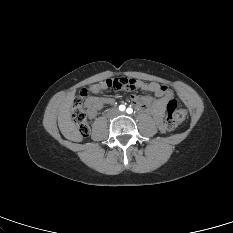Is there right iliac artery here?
Here are the masks:
<instances>
[{"instance_id":"1","label":"right iliac artery","mask_w":233,"mask_h":233,"mask_svg":"<svg viewBox=\"0 0 233 233\" xmlns=\"http://www.w3.org/2000/svg\"><path fill=\"white\" fill-rule=\"evenodd\" d=\"M125 108H126V107H125L124 105H120V106H119V110H120V111H124Z\"/></svg>"}]
</instances>
